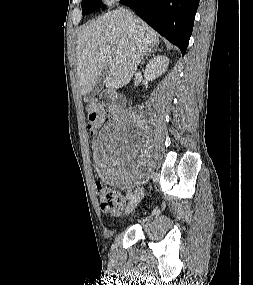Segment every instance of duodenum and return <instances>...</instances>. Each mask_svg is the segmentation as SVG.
<instances>
[{
	"label": "duodenum",
	"instance_id": "obj_1",
	"mask_svg": "<svg viewBox=\"0 0 253 285\" xmlns=\"http://www.w3.org/2000/svg\"><path fill=\"white\" fill-rule=\"evenodd\" d=\"M102 103L106 106L108 115H114L126 106V98L116 91H108L103 94Z\"/></svg>",
	"mask_w": 253,
	"mask_h": 285
}]
</instances>
